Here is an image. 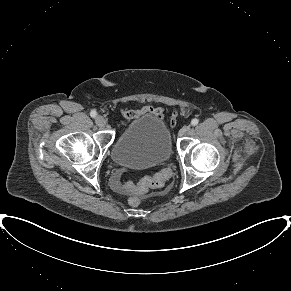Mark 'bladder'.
Here are the masks:
<instances>
[{"label": "bladder", "mask_w": 291, "mask_h": 291, "mask_svg": "<svg viewBox=\"0 0 291 291\" xmlns=\"http://www.w3.org/2000/svg\"><path fill=\"white\" fill-rule=\"evenodd\" d=\"M172 155L171 135L164 122L151 114L133 120L116 138L112 161L121 167L146 169L167 162Z\"/></svg>", "instance_id": "31cf9c89"}]
</instances>
